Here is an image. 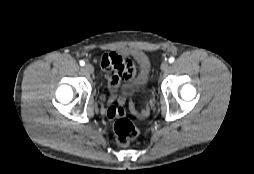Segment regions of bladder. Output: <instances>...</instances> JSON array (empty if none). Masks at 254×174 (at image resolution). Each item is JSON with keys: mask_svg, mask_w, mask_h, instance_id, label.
I'll list each match as a JSON object with an SVG mask.
<instances>
[{"mask_svg": "<svg viewBox=\"0 0 254 174\" xmlns=\"http://www.w3.org/2000/svg\"><path fill=\"white\" fill-rule=\"evenodd\" d=\"M134 54L138 59L136 62L137 70L133 77L124 85V88L128 92H144L150 86L151 62L149 57L143 52L138 51Z\"/></svg>", "mask_w": 254, "mask_h": 174, "instance_id": "31cf9c89", "label": "bladder"}]
</instances>
